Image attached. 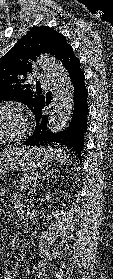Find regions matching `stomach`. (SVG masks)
I'll list each match as a JSON object with an SVG mask.
<instances>
[{
	"instance_id": "stomach-1",
	"label": "stomach",
	"mask_w": 113,
	"mask_h": 279,
	"mask_svg": "<svg viewBox=\"0 0 113 279\" xmlns=\"http://www.w3.org/2000/svg\"><path fill=\"white\" fill-rule=\"evenodd\" d=\"M53 160L50 150L36 146H13L0 153V174L10 170L35 171Z\"/></svg>"
}]
</instances>
